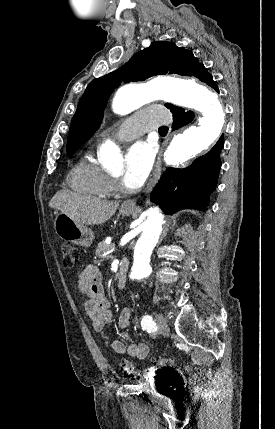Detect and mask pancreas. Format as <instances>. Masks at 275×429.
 I'll return each instance as SVG.
<instances>
[{"instance_id": "pancreas-1", "label": "pancreas", "mask_w": 275, "mask_h": 429, "mask_svg": "<svg viewBox=\"0 0 275 429\" xmlns=\"http://www.w3.org/2000/svg\"><path fill=\"white\" fill-rule=\"evenodd\" d=\"M113 247V244L107 245L105 240L100 242L96 248V256L102 257L104 253L109 251Z\"/></svg>"}]
</instances>
